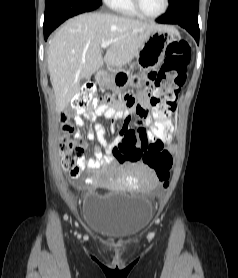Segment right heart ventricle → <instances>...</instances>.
<instances>
[{
  "label": "right heart ventricle",
  "mask_w": 238,
  "mask_h": 278,
  "mask_svg": "<svg viewBox=\"0 0 238 278\" xmlns=\"http://www.w3.org/2000/svg\"><path fill=\"white\" fill-rule=\"evenodd\" d=\"M111 8L117 13L125 16H138V13L135 11L131 0H115Z\"/></svg>",
  "instance_id": "1"
}]
</instances>
